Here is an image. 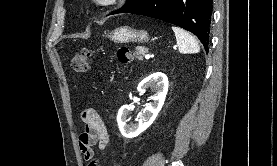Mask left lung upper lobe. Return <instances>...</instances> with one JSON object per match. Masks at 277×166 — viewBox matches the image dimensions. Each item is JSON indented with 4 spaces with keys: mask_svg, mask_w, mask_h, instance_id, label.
Wrapping results in <instances>:
<instances>
[{
    "mask_svg": "<svg viewBox=\"0 0 277 166\" xmlns=\"http://www.w3.org/2000/svg\"><path fill=\"white\" fill-rule=\"evenodd\" d=\"M143 1L144 0H127L126 4L120 10L113 12L112 14L126 12V11L132 9L133 7L139 5Z\"/></svg>",
    "mask_w": 277,
    "mask_h": 166,
    "instance_id": "5c2ea615",
    "label": "left lung upper lobe"
}]
</instances>
